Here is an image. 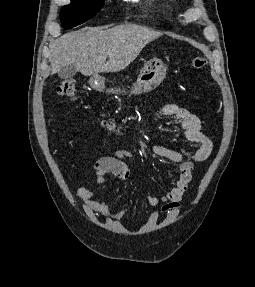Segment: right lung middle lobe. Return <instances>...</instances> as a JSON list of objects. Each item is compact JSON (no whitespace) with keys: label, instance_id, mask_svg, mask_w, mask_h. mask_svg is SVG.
<instances>
[{"label":"right lung middle lobe","instance_id":"obj_1","mask_svg":"<svg viewBox=\"0 0 255 287\" xmlns=\"http://www.w3.org/2000/svg\"><path fill=\"white\" fill-rule=\"evenodd\" d=\"M103 4V0H71V4L64 6L60 13L64 28L75 27L92 18Z\"/></svg>","mask_w":255,"mask_h":287}]
</instances>
